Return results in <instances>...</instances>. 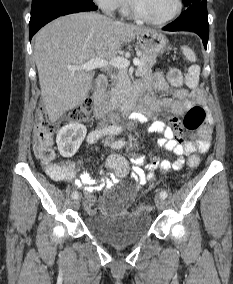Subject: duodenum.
Listing matches in <instances>:
<instances>
[{
	"instance_id": "410a0bca",
	"label": "duodenum",
	"mask_w": 233,
	"mask_h": 284,
	"mask_svg": "<svg viewBox=\"0 0 233 284\" xmlns=\"http://www.w3.org/2000/svg\"><path fill=\"white\" fill-rule=\"evenodd\" d=\"M108 84V78L106 75H99L96 79V88L93 94L94 98V113L98 119L109 118L112 125L118 130V123L121 115L129 114L132 111L136 110L137 103L140 97V90H136L131 93L126 100L114 109L111 113L108 111V105L106 101V88Z\"/></svg>"
}]
</instances>
